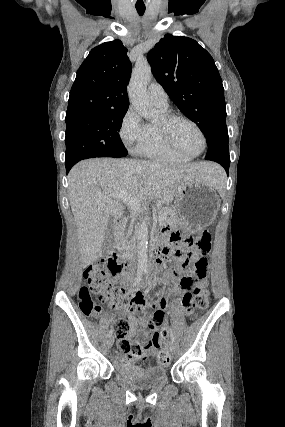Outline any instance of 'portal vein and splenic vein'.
I'll return each instance as SVG.
<instances>
[{
	"label": "portal vein and splenic vein",
	"mask_w": 285,
	"mask_h": 427,
	"mask_svg": "<svg viewBox=\"0 0 285 427\" xmlns=\"http://www.w3.org/2000/svg\"><path fill=\"white\" fill-rule=\"evenodd\" d=\"M107 198H114L117 199L119 201H122L124 204H126L127 206H129L132 210L134 211H139L141 209V203L139 201H137L136 199L128 196L125 193H113L108 195L107 197H104L103 199H107ZM164 218L162 216H159V221H162Z\"/></svg>",
	"instance_id": "1"
}]
</instances>
